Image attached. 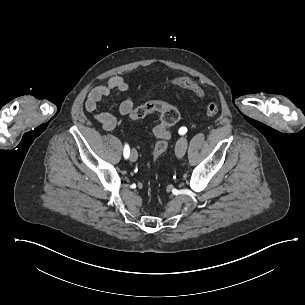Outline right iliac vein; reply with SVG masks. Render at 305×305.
Listing matches in <instances>:
<instances>
[{
	"label": "right iliac vein",
	"instance_id": "1",
	"mask_svg": "<svg viewBox=\"0 0 305 305\" xmlns=\"http://www.w3.org/2000/svg\"><path fill=\"white\" fill-rule=\"evenodd\" d=\"M138 158V155H137V152L135 149H132L131 150V153H130V160L135 162Z\"/></svg>",
	"mask_w": 305,
	"mask_h": 305
}]
</instances>
